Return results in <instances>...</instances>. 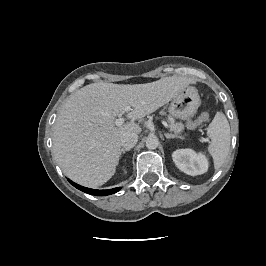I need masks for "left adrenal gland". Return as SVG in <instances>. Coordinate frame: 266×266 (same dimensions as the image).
I'll list each match as a JSON object with an SVG mask.
<instances>
[{"mask_svg":"<svg viewBox=\"0 0 266 266\" xmlns=\"http://www.w3.org/2000/svg\"><path fill=\"white\" fill-rule=\"evenodd\" d=\"M164 135H165V137H166L167 139L181 138V136H178V135H175V134L165 133Z\"/></svg>","mask_w":266,"mask_h":266,"instance_id":"a2214340","label":"left adrenal gland"}]
</instances>
